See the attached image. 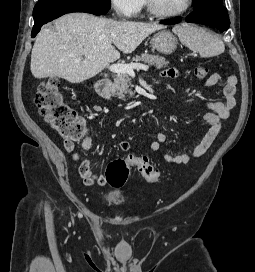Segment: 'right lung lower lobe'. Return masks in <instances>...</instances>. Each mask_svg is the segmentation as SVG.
<instances>
[{"label": "right lung lower lobe", "instance_id": "obj_1", "mask_svg": "<svg viewBox=\"0 0 255 272\" xmlns=\"http://www.w3.org/2000/svg\"><path fill=\"white\" fill-rule=\"evenodd\" d=\"M72 12H86L94 15L102 14L93 8L75 2H38L33 10L34 26L31 36L35 37L43 24Z\"/></svg>", "mask_w": 255, "mask_h": 272}]
</instances>
